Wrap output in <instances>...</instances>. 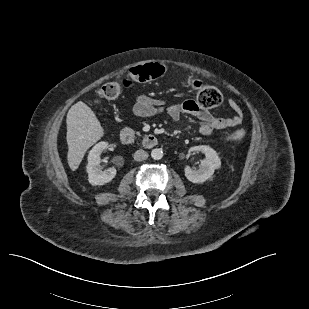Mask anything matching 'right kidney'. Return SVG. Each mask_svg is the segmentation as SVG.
<instances>
[{"label": "right kidney", "mask_w": 309, "mask_h": 309, "mask_svg": "<svg viewBox=\"0 0 309 309\" xmlns=\"http://www.w3.org/2000/svg\"><path fill=\"white\" fill-rule=\"evenodd\" d=\"M108 147V142L97 143L89 152L87 173L88 181L91 185H104L110 182L116 175L115 168L102 170L100 166L101 154Z\"/></svg>", "instance_id": "ca27d5eb"}]
</instances>
